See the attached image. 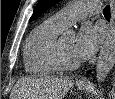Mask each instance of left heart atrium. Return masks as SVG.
<instances>
[{
    "instance_id": "left-heart-atrium-1",
    "label": "left heart atrium",
    "mask_w": 115,
    "mask_h": 99,
    "mask_svg": "<svg viewBox=\"0 0 115 99\" xmlns=\"http://www.w3.org/2000/svg\"><path fill=\"white\" fill-rule=\"evenodd\" d=\"M100 26L84 24L75 38V53L79 61L89 59L96 52L103 38Z\"/></svg>"
}]
</instances>
